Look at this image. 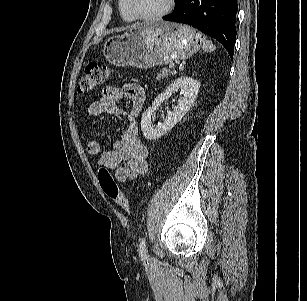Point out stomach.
Masks as SVG:
<instances>
[{
    "instance_id": "obj_1",
    "label": "stomach",
    "mask_w": 307,
    "mask_h": 301,
    "mask_svg": "<svg viewBox=\"0 0 307 301\" xmlns=\"http://www.w3.org/2000/svg\"><path fill=\"white\" fill-rule=\"evenodd\" d=\"M203 41V35L188 25L154 22L133 26L123 35L111 37L103 52L114 66L145 69L187 59Z\"/></svg>"
}]
</instances>
